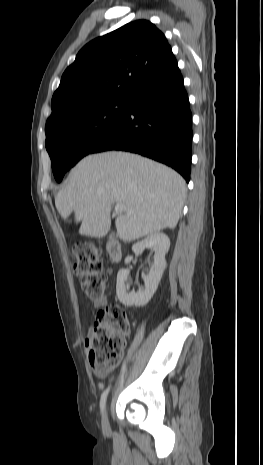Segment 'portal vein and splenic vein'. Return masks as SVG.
Returning <instances> with one entry per match:
<instances>
[{"label":"portal vein and splenic vein","instance_id":"18ae733b","mask_svg":"<svg viewBox=\"0 0 263 465\" xmlns=\"http://www.w3.org/2000/svg\"><path fill=\"white\" fill-rule=\"evenodd\" d=\"M125 210V207L122 204H116L115 205V211L116 212H123Z\"/></svg>","mask_w":263,"mask_h":465}]
</instances>
